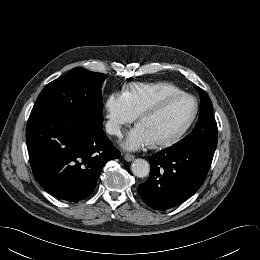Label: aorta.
<instances>
[{
	"mask_svg": "<svg viewBox=\"0 0 260 260\" xmlns=\"http://www.w3.org/2000/svg\"><path fill=\"white\" fill-rule=\"evenodd\" d=\"M131 171L135 176L144 178L150 172V165L144 159H135L131 165Z\"/></svg>",
	"mask_w": 260,
	"mask_h": 260,
	"instance_id": "aorta-1",
	"label": "aorta"
}]
</instances>
